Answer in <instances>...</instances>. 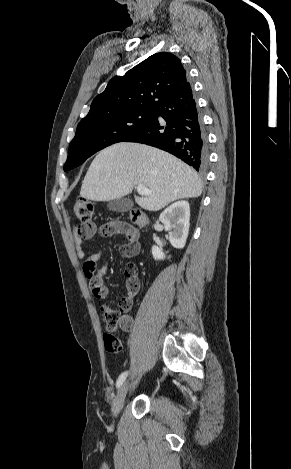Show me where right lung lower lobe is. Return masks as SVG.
Returning <instances> with one entry per match:
<instances>
[{"label":"right lung lower lobe","instance_id":"obj_1","mask_svg":"<svg viewBox=\"0 0 291 469\" xmlns=\"http://www.w3.org/2000/svg\"><path fill=\"white\" fill-rule=\"evenodd\" d=\"M123 141L165 150L197 171L208 162L207 138L191 86L171 92L153 109L151 119Z\"/></svg>","mask_w":291,"mask_h":469}]
</instances>
